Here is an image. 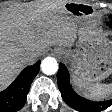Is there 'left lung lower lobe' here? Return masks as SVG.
Masks as SVG:
<instances>
[{
	"instance_id": "0a47b994",
	"label": "left lung lower lobe",
	"mask_w": 112,
	"mask_h": 112,
	"mask_svg": "<svg viewBox=\"0 0 112 112\" xmlns=\"http://www.w3.org/2000/svg\"><path fill=\"white\" fill-rule=\"evenodd\" d=\"M107 25L112 28V21ZM57 83L63 100L79 112H100L112 105V99L103 102H93L79 96L71 87L68 70L62 63H60L57 73Z\"/></svg>"
}]
</instances>
